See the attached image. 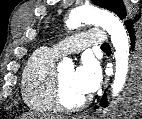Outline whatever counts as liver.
<instances>
[{
	"label": "liver",
	"instance_id": "obj_1",
	"mask_svg": "<svg viewBox=\"0 0 142 119\" xmlns=\"http://www.w3.org/2000/svg\"><path fill=\"white\" fill-rule=\"evenodd\" d=\"M23 118L24 119H30V118H32V119H64V117H56V116H50V115H38V116H36V115H30V116H28V115H23Z\"/></svg>",
	"mask_w": 142,
	"mask_h": 119
}]
</instances>
